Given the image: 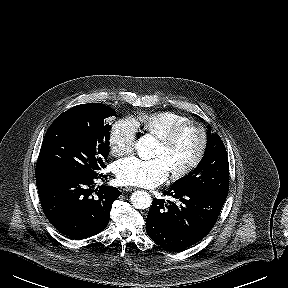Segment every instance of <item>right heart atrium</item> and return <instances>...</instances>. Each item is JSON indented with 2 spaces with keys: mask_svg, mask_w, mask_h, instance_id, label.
Segmentation results:
<instances>
[{
  "mask_svg": "<svg viewBox=\"0 0 288 288\" xmlns=\"http://www.w3.org/2000/svg\"><path fill=\"white\" fill-rule=\"evenodd\" d=\"M137 136V126L130 118L115 122L109 133L111 152L122 156L133 151Z\"/></svg>",
  "mask_w": 288,
  "mask_h": 288,
  "instance_id": "obj_1",
  "label": "right heart atrium"
}]
</instances>
